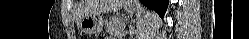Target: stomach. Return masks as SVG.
<instances>
[{"instance_id": "stomach-1", "label": "stomach", "mask_w": 249, "mask_h": 39, "mask_svg": "<svg viewBox=\"0 0 249 39\" xmlns=\"http://www.w3.org/2000/svg\"><path fill=\"white\" fill-rule=\"evenodd\" d=\"M128 11L133 13L136 11V7L129 6ZM81 30L89 35L101 32L103 28V20L99 13L88 14L82 18L80 22Z\"/></svg>"}]
</instances>
